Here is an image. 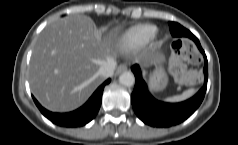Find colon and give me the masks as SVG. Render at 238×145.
Here are the masks:
<instances>
[{"instance_id":"1","label":"colon","mask_w":238,"mask_h":145,"mask_svg":"<svg viewBox=\"0 0 238 145\" xmlns=\"http://www.w3.org/2000/svg\"><path fill=\"white\" fill-rule=\"evenodd\" d=\"M199 61V53L192 42L175 41L172 45L169 72L179 83L193 84L198 81L199 74L188 70L186 63H198Z\"/></svg>"}]
</instances>
